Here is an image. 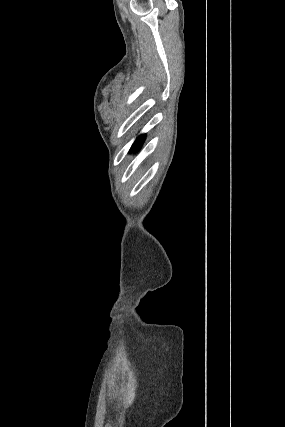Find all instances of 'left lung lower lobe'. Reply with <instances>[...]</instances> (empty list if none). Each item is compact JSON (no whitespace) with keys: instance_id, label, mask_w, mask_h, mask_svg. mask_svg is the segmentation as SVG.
I'll use <instances>...</instances> for the list:
<instances>
[{"instance_id":"left-lung-lower-lobe-1","label":"left lung lower lobe","mask_w":285,"mask_h":427,"mask_svg":"<svg viewBox=\"0 0 285 427\" xmlns=\"http://www.w3.org/2000/svg\"><path fill=\"white\" fill-rule=\"evenodd\" d=\"M145 135H140L136 141L133 143L130 151H136L139 149V147L141 146L143 140H144Z\"/></svg>"}]
</instances>
